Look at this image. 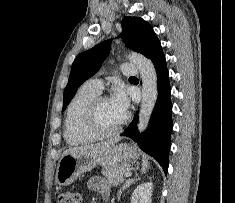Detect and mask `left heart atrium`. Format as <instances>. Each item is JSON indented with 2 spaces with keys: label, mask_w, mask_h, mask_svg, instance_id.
<instances>
[{
  "label": "left heart atrium",
  "mask_w": 235,
  "mask_h": 203,
  "mask_svg": "<svg viewBox=\"0 0 235 203\" xmlns=\"http://www.w3.org/2000/svg\"><path fill=\"white\" fill-rule=\"evenodd\" d=\"M113 105L124 115L126 116L128 111V99L126 94L122 90H118L114 93L110 99Z\"/></svg>",
  "instance_id": "1"
}]
</instances>
